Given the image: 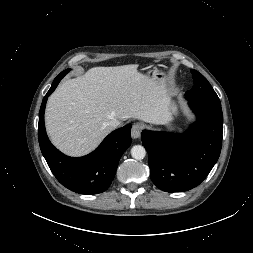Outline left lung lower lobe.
Listing matches in <instances>:
<instances>
[{
    "label": "left lung lower lobe",
    "mask_w": 253,
    "mask_h": 253,
    "mask_svg": "<svg viewBox=\"0 0 253 253\" xmlns=\"http://www.w3.org/2000/svg\"><path fill=\"white\" fill-rule=\"evenodd\" d=\"M197 121L183 134L143 130L153 183L166 192L198 186L217 162L222 146L220 102L188 100Z\"/></svg>",
    "instance_id": "left-lung-lower-lobe-1"
}]
</instances>
